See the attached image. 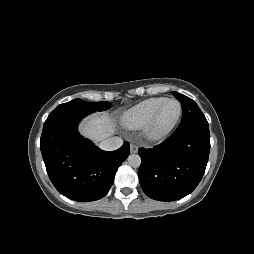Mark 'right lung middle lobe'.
<instances>
[{
  "label": "right lung middle lobe",
  "mask_w": 254,
  "mask_h": 254,
  "mask_svg": "<svg viewBox=\"0 0 254 254\" xmlns=\"http://www.w3.org/2000/svg\"><path fill=\"white\" fill-rule=\"evenodd\" d=\"M57 107H72L80 110H88L90 112L104 111L111 107L109 102H85L81 99H74L70 102L60 104Z\"/></svg>",
  "instance_id": "obj_1"
}]
</instances>
